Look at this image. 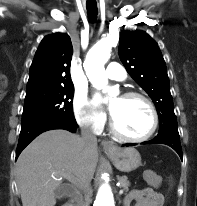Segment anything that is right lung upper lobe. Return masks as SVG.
I'll list each match as a JSON object with an SVG mask.
<instances>
[{
    "instance_id": "cb5924a9",
    "label": "right lung upper lobe",
    "mask_w": 197,
    "mask_h": 206,
    "mask_svg": "<svg viewBox=\"0 0 197 206\" xmlns=\"http://www.w3.org/2000/svg\"><path fill=\"white\" fill-rule=\"evenodd\" d=\"M73 54L67 34L54 33L43 38L30 67L27 89L73 85L70 65Z\"/></svg>"
}]
</instances>
